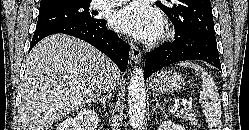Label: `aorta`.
<instances>
[{"instance_id": "aorta-1", "label": "aorta", "mask_w": 249, "mask_h": 130, "mask_svg": "<svg viewBox=\"0 0 249 130\" xmlns=\"http://www.w3.org/2000/svg\"><path fill=\"white\" fill-rule=\"evenodd\" d=\"M128 114L130 125L139 129L143 123L146 110V93L143 69L135 67L131 73L128 88Z\"/></svg>"}]
</instances>
